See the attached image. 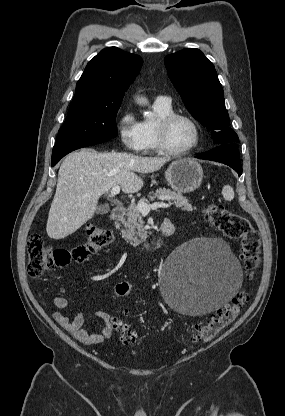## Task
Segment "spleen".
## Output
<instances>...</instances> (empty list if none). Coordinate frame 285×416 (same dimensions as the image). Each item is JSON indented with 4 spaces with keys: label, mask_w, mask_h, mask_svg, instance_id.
<instances>
[{
    "label": "spleen",
    "mask_w": 285,
    "mask_h": 416,
    "mask_svg": "<svg viewBox=\"0 0 285 416\" xmlns=\"http://www.w3.org/2000/svg\"><path fill=\"white\" fill-rule=\"evenodd\" d=\"M222 196L224 200H227V202H231V200H234L233 188H231V186H224V188H222Z\"/></svg>",
    "instance_id": "spleen-1"
}]
</instances>
